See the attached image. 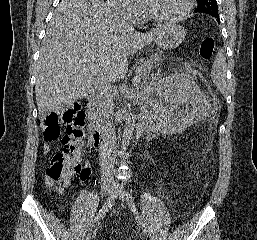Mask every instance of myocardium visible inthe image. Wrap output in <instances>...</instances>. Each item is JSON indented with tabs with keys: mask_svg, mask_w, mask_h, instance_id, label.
Here are the masks:
<instances>
[{
	"mask_svg": "<svg viewBox=\"0 0 257 240\" xmlns=\"http://www.w3.org/2000/svg\"><path fill=\"white\" fill-rule=\"evenodd\" d=\"M144 5L148 14V17L157 23H176L183 20L192 10L193 8V0H185L184 8L176 15L169 17H162L154 13L152 10L149 1L144 0Z\"/></svg>",
	"mask_w": 257,
	"mask_h": 240,
	"instance_id": "1",
	"label": "myocardium"
}]
</instances>
